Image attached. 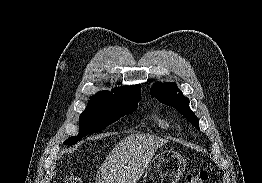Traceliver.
Returning a JSON list of instances; mask_svg holds the SVG:
<instances>
[{
  "mask_svg": "<svg viewBox=\"0 0 262 183\" xmlns=\"http://www.w3.org/2000/svg\"><path fill=\"white\" fill-rule=\"evenodd\" d=\"M168 141L131 134L114 146L98 171L97 183H137L158 148Z\"/></svg>",
  "mask_w": 262,
  "mask_h": 183,
  "instance_id": "1",
  "label": "liver"
}]
</instances>
